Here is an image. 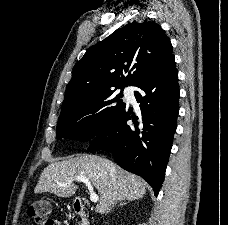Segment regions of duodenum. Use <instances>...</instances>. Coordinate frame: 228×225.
<instances>
[{
  "mask_svg": "<svg viewBox=\"0 0 228 225\" xmlns=\"http://www.w3.org/2000/svg\"><path fill=\"white\" fill-rule=\"evenodd\" d=\"M72 208L74 212L80 217V225H87L88 223L86 222V217H87V209L82 202L81 199L75 198L72 201Z\"/></svg>",
  "mask_w": 228,
  "mask_h": 225,
  "instance_id": "410a0bca",
  "label": "duodenum"
}]
</instances>
